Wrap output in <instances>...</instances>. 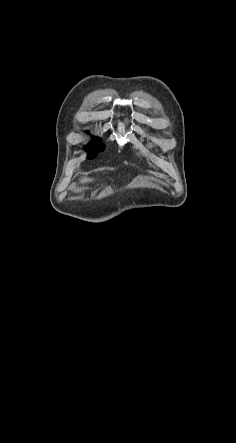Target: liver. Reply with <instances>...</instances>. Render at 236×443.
Instances as JSON below:
<instances>
[{"label":"liver","mask_w":236,"mask_h":443,"mask_svg":"<svg viewBox=\"0 0 236 443\" xmlns=\"http://www.w3.org/2000/svg\"><path fill=\"white\" fill-rule=\"evenodd\" d=\"M88 180H90V179H86V178H85L84 180H82V182H87Z\"/></svg>","instance_id":"liver-1"}]
</instances>
